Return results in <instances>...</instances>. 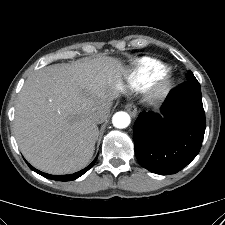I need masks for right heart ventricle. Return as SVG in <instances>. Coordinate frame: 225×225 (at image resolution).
<instances>
[{"mask_svg":"<svg viewBox=\"0 0 225 225\" xmlns=\"http://www.w3.org/2000/svg\"><path fill=\"white\" fill-rule=\"evenodd\" d=\"M168 71L165 64L145 57L140 59L129 77V84L133 90H141L160 80Z\"/></svg>","mask_w":225,"mask_h":225,"instance_id":"e07e8e85","label":"right heart ventricle"}]
</instances>
